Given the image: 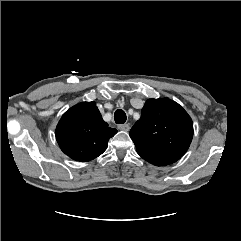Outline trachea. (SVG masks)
Instances as JSON below:
<instances>
[{
	"mask_svg": "<svg viewBox=\"0 0 241 241\" xmlns=\"http://www.w3.org/2000/svg\"><path fill=\"white\" fill-rule=\"evenodd\" d=\"M126 119V113L123 110L118 109L115 111L114 120L117 124H124L126 122Z\"/></svg>",
	"mask_w": 241,
	"mask_h": 241,
	"instance_id": "trachea-1",
	"label": "trachea"
}]
</instances>
